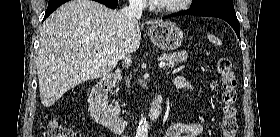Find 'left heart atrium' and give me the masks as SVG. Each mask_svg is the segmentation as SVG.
<instances>
[{"label":"left heart atrium","instance_id":"obj_1","mask_svg":"<svg viewBox=\"0 0 280 137\" xmlns=\"http://www.w3.org/2000/svg\"><path fill=\"white\" fill-rule=\"evenodd\" d=\"M154 2H158L159 0H153Z\"/></svg>","mask_w":280,"mask_h":137}]
</instances>
